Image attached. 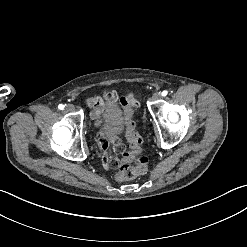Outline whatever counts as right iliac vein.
<instances>
[{
  "mask_svg": "<svg viewBox=\"0 0 247 247\" xmlns=\"http://www.w3.org/2000/svg\"><path fill=\"white\" fill-rule=\"evenodd\" d=\"M66 110H67V112H73L75 110V107L72 104H68L66 106Z\"/></svg>",
  "mask_w": 247,
  "mask_h": 247,
  "instance_id": "right-iliac-vein-1",
  "label": "right iliac vein"
}]
</instances>
